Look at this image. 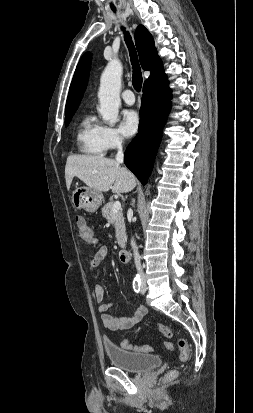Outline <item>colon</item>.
<instances>
[{"label": "colon", "mask_w": 253, "mask_h": 413, "mask_svg": "<svg viewBox=\"0 0 253 413\" xmlns=\"http://www.w3.org/2000/svg\"><path fill=\"white\" fill-rule=\"evenodd\" d=\"M76 223L78 226V233L79 237L82 241H84L87 244H93L94 243V235L90 229V227L87 225L85 220L81 216H76ZM157 328L159 332L166 338H172L173 337V331L170 327L164 325V324H157ZM121 346L126 349H135L140 352H151L153 348L149 345H142V346H133L127 339L122 340ZM177 346L179 349V356L182 361H186L189 358L190 355V350L188 347V343L185 339L180 338L177 341ZM165 347L169 350L173 348L172 344L170 342L165 343ZM176 371H170L166 376L165 380L170 381L176 377Z\"/></svg>", "instance_id": "colon-1"}]
</instances>
